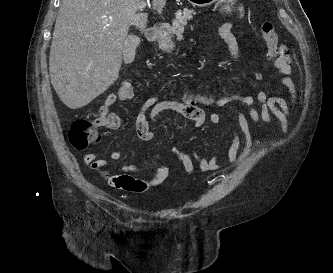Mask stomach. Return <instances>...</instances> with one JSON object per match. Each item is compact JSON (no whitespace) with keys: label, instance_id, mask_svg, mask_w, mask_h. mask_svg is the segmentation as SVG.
Returning a JSON list of instances; mask_svg holds the SVG:
<instances>
[{"label":"stomach","instance_id":"0dacf381","mask_svg":"<svg viewBox=\"0 0 333 273\" xmlns=\"http://www.w3.org/2000/svg\"><path fill=\"white\" fill-rule=\"evenodd\" d=\"M218 0H188L190 4L193 6H198V7H207L210 6L211 4L217 2ZM218 4V9L219 10H224L225 9V4H232L233 0H219ZM157 42L159 49L162 51L170 52L174 49L175 43L172 40V35L170 29H163L158 37H157Z\"/></svg>","mask_w":333,"mask_h":273}]
</instances>
